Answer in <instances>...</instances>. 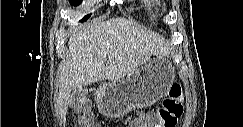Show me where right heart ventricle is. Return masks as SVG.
Segmentation results:
<instances>
[{
	"mask_svg": "<svg viewBox=\"0 0 243 127\" xmlns=\"http://www.w3.org/2000/svg\"><path fill=\"white\" fill-rule=\"evenodd\" d=\"M140 10L146 19L153 21L157 18L161 6L157 1H142Z\"/></svg>",
	"mask_w": 243,
	"mask_h": 127,
	"instance_id": "obj_1",
	"label": "right heart ventricle"
}]
</instances>
